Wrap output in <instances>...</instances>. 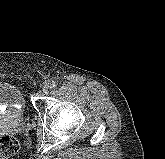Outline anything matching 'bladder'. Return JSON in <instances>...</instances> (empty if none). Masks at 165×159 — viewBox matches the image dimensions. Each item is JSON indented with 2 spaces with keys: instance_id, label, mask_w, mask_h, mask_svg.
I'll use <instances>...</instances> for the list:
<instances>
[{
  "instance_id": "1",
  "label": "bladder",
  "mask_w": 165,
  "mask_h": 159,
  "mask_svg": "<svg viewBox=\"0 0 165 159\" xmlns=\"http://www.w3.org/2000/svg\"><path fill=\"white\" fill-rule=\"evenodd\" d=\"M0 107L6 108L5 111L0 112V122L9 117L23 116L26 102L21 89L15 84L0 81Z\"/></svg>"
}]
</instances>
